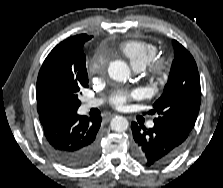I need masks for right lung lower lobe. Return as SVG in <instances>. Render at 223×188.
Segmentation results:
<instances>
[{"label": "right lung lower lobe", "instance_id": "obj_1", "mask_svg": "<svg viewBox=\"0 0 223 188\" xmlns=\"http://www.w3.org/2000/svg\"><path fill=\"white\" fill-rule=\"evenodd\" d=\"M39 118L49 150L61 164L80 169L98 158L100 116L88 119L71 111L45 114Z\"/></svg>", "mask_w": 223, "mask_h": 188}]
</instances>
